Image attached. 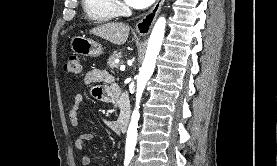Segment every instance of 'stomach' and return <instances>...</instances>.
Instances as JSON below:
<instances>
[{"label":"stomach","instance_id":"0dacf381","mask_svg":"<svg viewBox=\"0 0 277 166\" xmlns=\"http://www.w3.org/2000/svg\"><path fill=\"white\" fill-rule=\"evenodd\" d=\"M74 53L86 57H98L103 53L102 45L84 36H75L70 43Z\"/></svg>","mask_w":277,"mask_h":166}]
</instances>
